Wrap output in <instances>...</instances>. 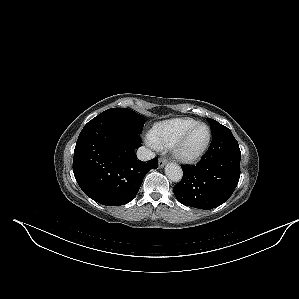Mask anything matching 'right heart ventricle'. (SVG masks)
I'll return each mask as SVG.
<instances>
[{"label":"right heart ventricle","mask_w":299,"mask_h":299,"mask_svg":"<svg viewBox=\"0 0 299 299\" xmlns=\"http://www.w3.org/2000/svg\"><path fill=\"white\" fill-rule=\"evenodd\" d=\"M197 121L190 118H173L154 124L149 132L150 142L157 147H172L176 140Z\"/></svg>","instance_id":"obj_1"}]
</instances>
